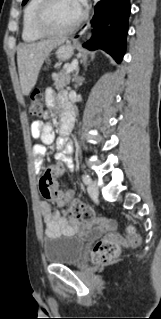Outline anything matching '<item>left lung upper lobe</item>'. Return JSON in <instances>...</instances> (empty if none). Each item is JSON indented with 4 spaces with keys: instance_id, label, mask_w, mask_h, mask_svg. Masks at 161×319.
<instances>
[{
    "instance_id": "1",
    "label": "left lung upper lobe",
    "mask_w": 161,
    "mask_h": 319,
    "mask_svg": "<svg viewBox=\"0 0 161 319\" xmlns=\"http://www.w3.org/2000/svg\"><path fill=\"white\" fill-rule=\"evenodd\" d=\"M28 0H23L22 5H25Z\"/></svg>"
}]
</instances>
